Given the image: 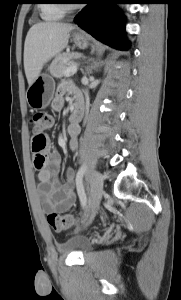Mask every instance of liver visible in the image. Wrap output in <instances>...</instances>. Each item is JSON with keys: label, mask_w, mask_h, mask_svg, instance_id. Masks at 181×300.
<instances>
[{"label": "liver", "mask_w": 181, "mask_h": 300, "mask_svg": "<svg viewBox=\"0 0 181 300\" xmlns=\"http://www.w3.org/2000/svg\"><path fill=\"white\" fill-rule=\"evenodd\" d=\"M71 24L41 22L33 25L24 44V69L29 86L39 77L43 66L68 45Z\"/></svg>", "instance_id": "1"}]
</instances>
